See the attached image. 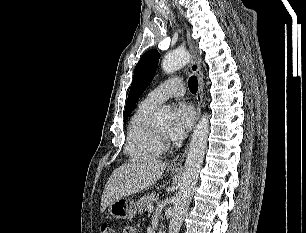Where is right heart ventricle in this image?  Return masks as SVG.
Segmentation results:
<instances>
[{"label":"right heart ventricle","mask_w":306,"mask_h":233,"mask_svg":"<svg viewBox=\"0 0 306 233\" xmlns=\"http://www.w3.org/2000/svg\"><path fill=\"white\" fill-rule=\"evenodd\" d=\"M156 107L143 100L129 121L125 151L132 160L155 159L162 152L156 128L152 123Z\"/></svg>","instance_id":"e07e8e85"}]
</instances>
